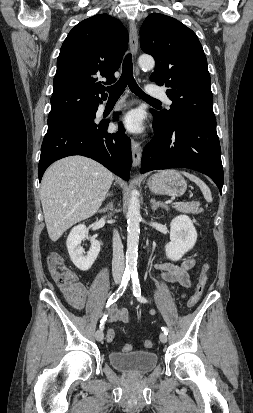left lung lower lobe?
<instances>
[{"label":"left lung lower lobe","mask_w":253,"mask_h":413,"mask_svg":"<svg viewBox=\"0 0 253 413\" xmlns=\"http://www.w3.org/2000/svg\"><path fill=\"white\" fill-rule=\"evenodd\" d=\"M152 114L155 136L143 151L141 173L189 168L208 175L222 193L224 173L216 126L186 120L166 127L156 113Z\"/></svg>","instance_id":"obj_1"}]
</instances>
